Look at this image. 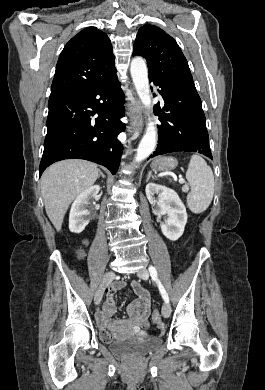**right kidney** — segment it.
I'll list each match as a JSON object with an SVG mask.
<instances>
[{"instance_id":"obj_1","label":"right kidney","mask_w":265,"mask_h":390,"mask_svg":"<svg viewBox=\"0 0 265 390\" xmlns=\"http://www.w3.org/2000/svg\"><path fill=\"white\" fill-rule=\"evenodd\" d=\"M99 191V185L91 186L76 197L69 215V229L71 232L81 233L88 225L89 220L86 217L89 211L86 209V206L92 197L97 196Z\"/></svg>"}]
</instances>
